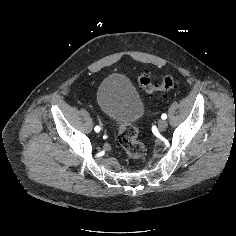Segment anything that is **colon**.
Here are the masks:
<instances>
[{
	"instance_id": "1",
	"label": "colon",
	"mask_w": 236,
	"mask_h": 236,
	"mask_svg": "<svg viewBox=\"0 0 236 236\" xmlns=\"http://www.w3.org/2000/svg\"><path fill=\"white\" fill-rule=\"evenodd\" d=\"M137 81L139 86L148 93L168 92L177 86L176 79L171 75H165L159 81H154L147 72H142L138 75ZM137 135V129L132 124L118 126V141L132 160H141L145 155V147L138 140Z\"/></svg>"
}]
</instances>
